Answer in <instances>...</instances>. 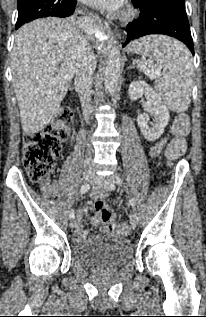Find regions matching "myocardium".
<instances>
[{"instance_id": "obj_1", "label": "myocardium", "mask_w": 206, "mask_h": 317, "mask_svg": "<svg viewBox=\"0 0 206 317\" xmlns=\"http://www.w3.org/2000/svg\"><path fill=\"white\" fill-rule=\"evenodd\" d=\"M131 14H132V12L130 10H124L122 12V18L123 19H127V18H129L131 16Z\"/></svg>"}]
</instances>
